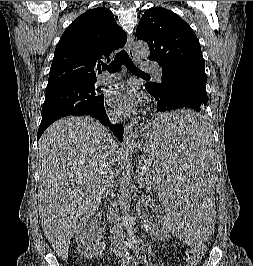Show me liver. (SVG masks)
<instances>
[{
	"mask_svg": "<svg viewBox=\"0 0 253 266\" xmlns=\"http://www.w3.org/2000/svg\"><path fill=\"white\" fill-rule=\"evenodd\" d=\"M123 145L91 117H67L49 126L38 143L41 226L66 258L77 229L98 210L107 173Z\"/></svg>",
	"mask_w": 253,
	"mask_h": 266,
	"instance_id": "liver-1",
	"label": "liver"
}]
</instances>
